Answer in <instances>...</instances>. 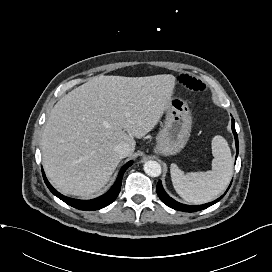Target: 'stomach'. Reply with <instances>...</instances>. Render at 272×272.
<instances>
[{
	"label": "stomach",
	"mask_w": 272,
	"mask_h": 272,
	"mask_svg": "<svg viewBox=\"0 0 272 272\" xmlns=\"http://www.w3.org/2000/svg\"><path fill=\"white\" fill-rule=\"evenodd\" d=\"M165 111V124L157 134L155 152L170 156L179 153L188 142L192 116L187 103L178 97L171 99Z\"/></svg>",
	"instance_id": "1"
}]
</instances>
